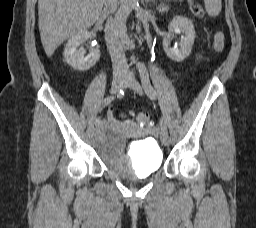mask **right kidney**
Listing matches in <instances>:
<instances>
[{"label":"right kidney","mask_w":256,"mask_h":228,"mask_svg":"<svg viewBox=\"0 0 256 228\" xmlns=\"http://www.w3.org/2000/svg\"><path fill=\"white\" fill-rule=\"evenodd\" d=\"M90 37L87 30L81 31L70 37L64 49V61L73 69L86 71L93 67L100 58L98 49H91L88 55L81 45Z\"/></svg>","instance_id":"obj_1"}]
</instances>
